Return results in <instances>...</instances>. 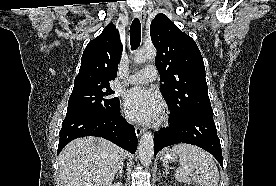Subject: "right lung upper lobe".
<instances>
[{
    "mask_svg": "<svg viewBox=\"0 0 276 186\" xmlns=\"http://www.w3.org/2000/svg\"><path fill=\"white\" fill-rule=\"evenodd\" d=\"M121 54L119 32L113 23H109L103 32L86 46L74 88L109 85V81L117 76Z\"/></svg>",
    "mask_w": 276,
    "mask_h": 186,
    "instance_id": "right-lung-upper-lobe-1",
    "label": "right lung upper lobe"
}]
</instances>
